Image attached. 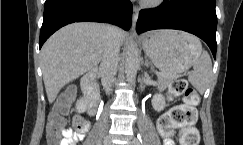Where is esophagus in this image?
I'll return each instance as SVG.
<instances>
[{"mask_svg": "<svg viewBox=\"0 0 243 145\" xmlns=\"http://www.w3.org/2000/svg\"><path fill=\"white\" fill-rule=\"evenodd\" d=\"M137 19H138V8L136 6H133V13H132V28H133V30H135Z\"/></svg>", "mask_w": 243, "mask_h": 145, "instance_id": "esophagus-1", "label": "esophagus"}]
</instances>
